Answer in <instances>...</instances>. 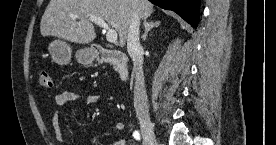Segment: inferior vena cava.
I'll use <instances>...</instances> for the list:
<instances>
[{"label": "inferior vena cava", "instance_id": "602c4592", "mask_svg": "<svg viewBox=\"0 0 276 145\" xmlns=\"http://www.w3.org/2000/svg\"><path fill=\"white\" fill-rule=\"evenodd\" d=\"M140 17L134 12L129 23L127 50L135 67L134 108L137 116H146L149 112L148 96L145 89L142 46L139 41Z\"/></svg>", "mask_w": 276, "mask_h": 145}]
</instances>
